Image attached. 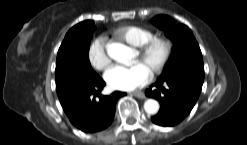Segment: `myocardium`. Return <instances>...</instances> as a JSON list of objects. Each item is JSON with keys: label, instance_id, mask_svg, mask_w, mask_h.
<instances>
[{"label": "myocardium", "instance_id": "obj_1", "mask_svg": "<svg viewBox=\"0 0 247 145\" xmlns=\"http://www.w3.org/2000/svg\"><path fill=\"white\" fill-rule=\"evenodd\" d=\"M160 47L162 49V56L159 62L151 68L153 74L161 73L167 66L171 54H172V43L169 39L165 37H152L142 45L137 47V53L139 56H146L155 47Z\"/></svg>", "mask_w": 247, "mask_h": 145}]
</instances>
